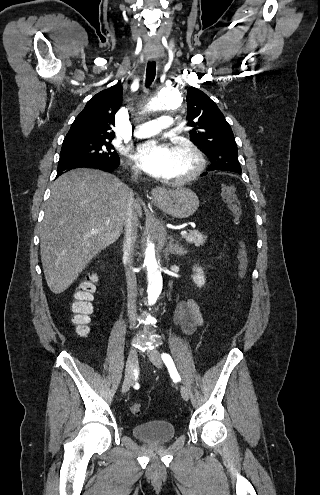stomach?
<instances>
[{
    "mask_svg": "<svg viewBox=\"0 0 320 495\" xmlns=\"http://www.w3.org/2000/svg\"><path fill=\"white\" fill-rule=\"evenodd\" d=\"M155 203L158 208L175 218H187L199 207L197 195L187 188L165 191L162 198Z\"/></svg>",
    "mask_w": 320,
    "mask_h": 495,
    "instance_id": "0dacf381",
    "label": "stomach"
}]
</instances>
